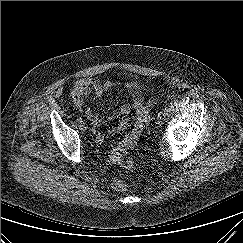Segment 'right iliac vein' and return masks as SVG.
Returning <instances> with one entry per match:
<instances>
[{"label": "right iliac vein", "mask_w": 243, "mask_h": 243, "mask_svg": "<svg viewBox=\"0 0 243 243\" xmlns=\"http://www.w3.org/2000/svg\"><path fill=\"white\" fill-rule=\"evenodd\" d=\"M87 128H88L87 123H86L85 121H82V122L80 123V129H81L82 131H85V130H87Z\"/></svg>", "instance_id": "1"}]
</instances>
